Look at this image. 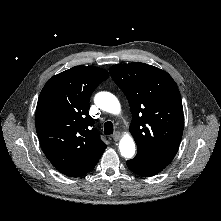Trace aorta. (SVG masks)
Masks as SVG:
<instances>
[{
  "instance_id": "obj_1",
  "label": "aorta",
  "mask_w": 221,
  "mask_h": 221,
  "mask_svg": "<svg viewBox=\"0 0 221 221\" xmlns=\"http://www.w3.org/2000/svg\"><path fill=\"white\" fill-rule=\"evenodd\" d=\"M95 104L103 111L111 114H119L121 111L120 102L110 92H99L94 98ZM119 150L123 157L132 158L135 154V143L133 138L126 134L119 142Z\"/></svg>"
}]
</instances>
